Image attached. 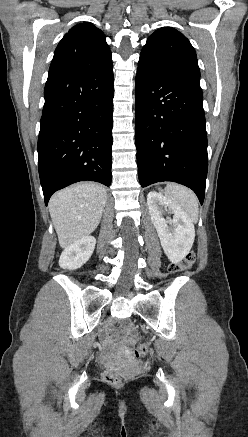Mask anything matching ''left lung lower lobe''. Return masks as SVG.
Here are the masks:
<instances>
[{"label":"left lung lower lobe","mask_w":248,"mask_h":437,"mask_svg":"<svg viewBox=\"0 0 248 437\" xmlns=\"http://www.w3.org/2000/svg\"><path fill=\"white\" fill-rule=\"evenodd\" d=\"M135 99L141 186L177 182L202 204L208 168L202 89L137 68Z\"/></svg>","instance_id":"left-lung-lower-lobe-1"}]
</instances>
